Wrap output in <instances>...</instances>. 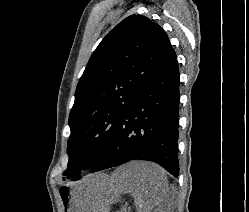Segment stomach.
I'll list each match as a JSON object with an SVG mask.
<instances>
[{
    "instance_id": "stomach-1",
    "label": "stomach",
    "mask_w": 249,
    "mask_h": 212,
    "mask_svg": "<svg viewBox=\"0 0 249 212\" xmlns=\"http://www.w3.org/2000/svg\"><path fill=\"white\" fill-rule=\"evenodd\" d=\"M112 184H117V179H108L107 175H97L87 180H82L78 184L63 186L60 190L62 204L66 212H106L114 210L112 198H117L116 188Z\"/></svg>"
}]
</instances>
